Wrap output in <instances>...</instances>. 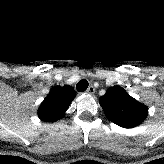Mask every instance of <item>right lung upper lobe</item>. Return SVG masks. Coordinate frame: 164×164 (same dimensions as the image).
Returning a JSON list of instances; mask_svg holds the SVG:
<instances>
[{
  "label": "right lung upper lobe",
  "instance_id": "1",
  "mask_svg": "<svg viewBox=\"0 0 164 164\" xmlns=\"http://www.w3.org/2000/svg\"><path fill=\"white\" fill-rule=\"evenodd\" d=\"M75 95V90L69 85L53 87L38 110L39 118L45 122L63 118Z\"/></svg>",
  "mask_w": 164,
  "mask_h": 164
}]
</instances>
